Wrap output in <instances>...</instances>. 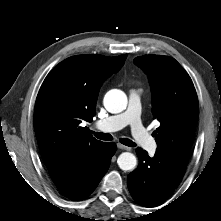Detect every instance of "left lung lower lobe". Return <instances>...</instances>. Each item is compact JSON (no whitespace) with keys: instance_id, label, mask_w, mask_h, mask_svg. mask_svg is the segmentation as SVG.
Returning a JSON list of instances; mask_svg holds the SVG:
<instances>
[{"instance_id":"left-lung-lower-lobe-1","label":"left lung lower lobe","mask_w":221,"mask_h":221,"mask_svg":"<svg viewBox=\"0 0 221 221\" xmlns=\"http://www.w3.org/2000/svg\"><path fill=\"white\" fill-rule=\"evenodd\" d=\"M136 153L139 165L128 175L129 191L139 204L145 207L157 206L179 185L187 162L158 151L153 158L141 148H137Z\"/></svg>"}]
</instances>
